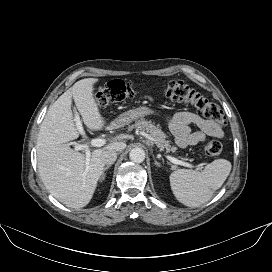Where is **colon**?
<instances>
[{
    "instance_id": "colon-1",
    "label": "colon",
    "mask_w": 272,
    "mask_h": 272,
    "mask_svg": "<svg viewBox=\"0 0 272 272\" xmlns=\"http://www.w3.org/2000/svg\"><path fill=\"white\" fill-rule=\"evenodd\" d=\"M135 94L133 83L111 80L97 90L96 101L101 105H109L131 98ZM165 94L173 101L195 108L207 120L214 121L220 126L226 123L225 114L216 103L183 81H169L165 87ZM221 151L222 144L216 140L210 141L205 147L208 156H217Z\"/></svg>"
}]
</instances>
